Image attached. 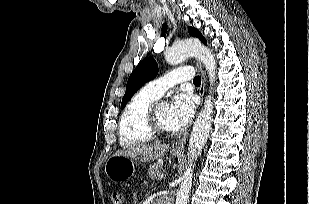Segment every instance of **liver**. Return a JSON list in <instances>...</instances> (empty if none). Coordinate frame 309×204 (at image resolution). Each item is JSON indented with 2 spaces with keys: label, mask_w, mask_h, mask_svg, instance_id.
<instances>
[{
  "label": "liver",
  "mask_w": 309,
  "mask_h": 204,
  "mask_svg": "<svg viewBox=\"0 0 309 204\" xmlns=\"http://www.w3.org/2000/svg\"><path fill=\"white\" fill-rule=\"evenodd\" d=\"M167 151V145L155 144V145H137L126 147L114 155L128 156L133 159H140L142 161H154L162 156Z\"/></svg>",
  "instance_id": "1"
}]
</instances>
